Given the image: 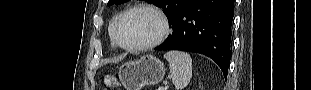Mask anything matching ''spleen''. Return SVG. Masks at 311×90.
Returning a JSON list of instances; mask_svg holds the SVG:
<instances>
[{"label":"spleen","instance_id":"1","mask_svg":"<svg viewBox=\"0 0 311 90\" xmlns=\"http://www.w3.org/2000/svg\"><path fill=\"white\" fill-rule=\"evenodd\" d=\"M176 90H183L192 78V58L186 52L169 51L164 54Z\"/></svg>","mask_w":311,"mask_h":90}]
</instances>
